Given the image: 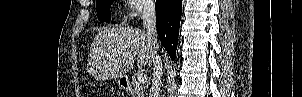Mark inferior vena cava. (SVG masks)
I'll return each mask as SVG.
<instances>
[{
	"label": "inferior vena cava",
	"mask_w": 302,
	"mask_h": 97,
	"mask_svg": "<svg viewBox=\"0 0 302 97\" xmlns=\"http://www.w3.org/2000/svg\"><path fill=\"white\" fill-rule=\"evenodd\" d=\"M142 20L144 31L151 38L153 46L155 48V57L153 61V79L152 86L149 90V97H160L163 70L161 57L157 55L159 46L157 42L155 4L152 0H148L143 4Z\"/></svg>",
	"instance_id": "1"
}]
</instances>
